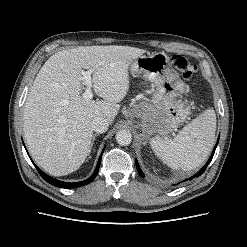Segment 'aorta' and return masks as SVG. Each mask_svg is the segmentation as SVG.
<instances>
[{"mask_svg": "<svg viewBox=\"0 0 247 247\" xmlns=\"http://www.w3.org/2000/svg\"><path fill=\"white\" fill-rule=\"evenodd\" d=\"M116 141L119 145L121 146H127L131 143L132 141V134L129 130H119L116 133Z\"/></svg>", "mask_w": 247, "mask_h": 247, "instance_id": "1", "label": "aorta"}]
</instances>
